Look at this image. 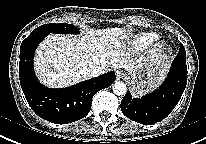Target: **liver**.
<instances>
[{
	"instance_id": "liver-1",
	"label": "liver",
	"mask_w": 206,
	"mask_h": 144,
	"mask_svg": "<svg viewBox=\"0 0 206 144\" xmlns=\"http://www.w3.org/2000/svg\"><path fill=\"white\" fill-rule=\"evenodd\" d=\"M124 28L85 30L81 36L53 34L38 47L34 59L40 82L51 88H64L87 78L84 69L101 66L136 69L135 62L125 53Z\"/></svg>"
}]
</instances>
